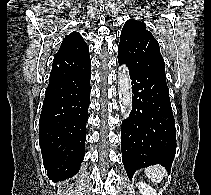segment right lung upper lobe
Masks as SVG:
<instances>
[{"mask_svg": "<svg viewBox=\"0 0 211 195\" xmlns=\"http://www.w3.org/2000/svg\"><path fill=\"white\" fill-rule=\"evenodd\" d=\"M91 63L88 46L78 32L66 36L54 57L50 79L77 72Z\"/></svg>", "mask_w": 211, "mask_h": 195, "instance_id": "cb5924a9", "label": "right lung upper lobe"}]
</instances>
